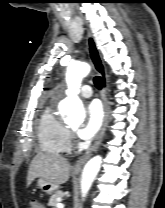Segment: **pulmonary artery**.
Returning <instances> with one entry per match:
<instances>
[{"instance_id": "pulmonary-artery-1", "label": "pulmonary artery", "mask_w": 165, "mask_h": 208, "mask_svg": "<svg viewBox=\"0 0 165 208\" xmlns=\"http://www.w3.org/2000/svg\"><path fill=\"white\" fill-rule=\"evenodd\" d=\"M92 95H93V91H92L91 86L84 85L81 88V91H80V96L81 97H83V98H90Z\"/></svg>"}]
</instances>
